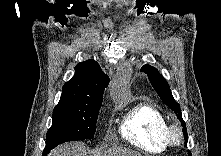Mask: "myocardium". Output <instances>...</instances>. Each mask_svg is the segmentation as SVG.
Listing matches in <instances>:
<instances>
[{
  "label": "myocardium",
  "mask_w": 221,
  "mask_h": 156,
  "mask_svg": "<svg viewBox=\"0 0 221 156\" xmlns=\"http://www.w3.org/2000/svg\"><path fill=\"white\" fill-rule=\"evenodd\" d=\"M185 138V133L179 124L170 125L168 130V141L173 146H179Z\"/></svg>",
  "instance_id": "1"
}]
</instances>
